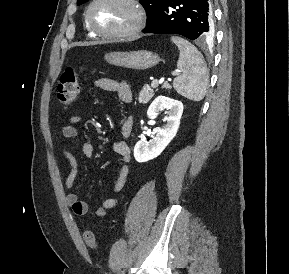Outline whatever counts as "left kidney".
<instances>
[{
  "mask_svg": "<svg viewBox=\"0 0 289 274\" xmlns=\"http://www.w3.org/2000/svg\"><path fill=\"white\" fill-rule=\"evenodd\" d=\"M168 110L166 124L158 128L156 137L149 141L140 140L134 147V158L137 162H147L159 156L175 137L183 113V104L165 96H158L149 106L147 116L155 119L162 110Z\"/></svg>",
  "mask_w": 289,
  "mask_h": 274,
  "instance_id": "5707ae66",
  "label": "left kidney"
}]
</instances>
